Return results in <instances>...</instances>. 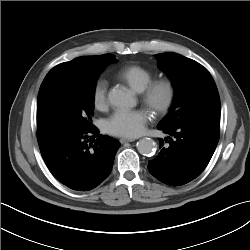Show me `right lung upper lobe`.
Wrapping results in <instances>:
<instances>
[{
  "mask_svg": "<svg viewBox=\"0 0 250 250\" xmlns=\"http://www.w3.org/2000/svg\"><path fill=\"white\" fill-rule=\"evenodd\" d=\"M110 56L111 54L82 56L55 66L43 80L39 89L38 100L47 95L60 82L69 78L84 76L99 68Z\"/></svg>",
  "mask_w": 250,
  "mask_h": 250,
  "instance_id": "cb5924a9",
  "label": "right lung upper lobe"
}]
</instances>
